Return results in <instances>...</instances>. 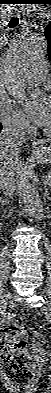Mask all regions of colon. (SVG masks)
Instances as JSON below:
<instances>
[{
    "mask_svg": "<svg viewBox=\"0 0 51 393\" xmlns=\"http://www.w3.org/2000/svg\"><path fill=\"white\" fill-rule=\"evenodd\" d=\"M27 328L21 320L5 326L1 331L2 375L15 391H26L33 376L35 365L26 350ZM35 346H43L45 337L36 332L33 336Z\"/></svg>",
    "mask_w": 51,
    "mask_h": 393,
    "instance_id": "obj_1",
    "label": "colon"
}]
</instances>
